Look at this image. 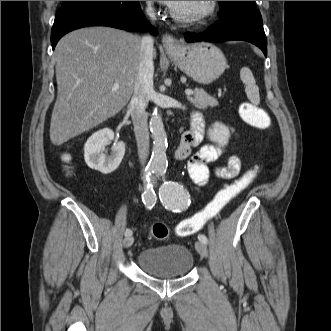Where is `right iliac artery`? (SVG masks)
Masks as SVG:
<instances>
[{"label": "right iliac artery", "mask_w": 331, "mask_h": 331, "mask_svg": "<svg viewBox=\"0 0 331 331\" xmlns=\"http://www.w3.org/2000/svg\"><path fill=\"white\" fill-rule=\"evenodd\" d=\"M154 170L155 169L153 167L147 166L144 174V193L142 194V200L147 209H152L157 200L153 186L149 183ZM131 235V229H126L125 236Z\"/></svg>", "instance_id": "right-iliac-artery-1"}]
</instances>
